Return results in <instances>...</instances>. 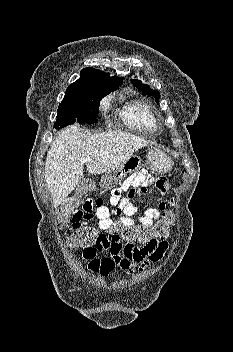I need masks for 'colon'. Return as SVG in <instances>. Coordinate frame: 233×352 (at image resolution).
I'll list each match as a JSON object with an SVG mask.
<instances>
[{
	"instance_id": "5ec220e1",
	"label": "colon",
	"mask_w": 233,
	"mask_h": 352,
	"mask_svg": "<svg viewBox=\"0 0 233 352\" xmlns=\"http://www.w3.org/2000/svg\"><path fill=\"white\" fill-rule=\"evenodd\" d=\"M174 214L170 210L162 213L151 227H128L121 229V235L126 244L134 246H145L156 242L165 241L170 228L174 224ZM66 215H61L58 222L59 227L66 224ZM107 239L106 234H101L95 227L90 225H83L73 232L69 238V245L73 248H92L99 245Z\"/></svg>"
}]
</instances>
